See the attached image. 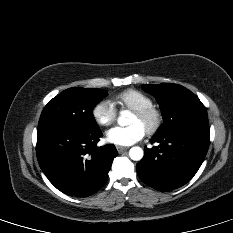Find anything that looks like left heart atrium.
<instances>
[{"label":"left heart atrium","mask_w":233,"mask_h":233,"mask_svg":"<svg viewBox=\"0 0 233 233\" xmlns=\"http://www.w3.org/2000/svg\"><path fill=\"white\" fill-rule=\"evenodd\" d=\"M146 130L139 124L129 126H116L107 131V140L120 146H129L140 141L145 136Z\"/></svg>","instance_id":"obj_1"}]
</instances>
